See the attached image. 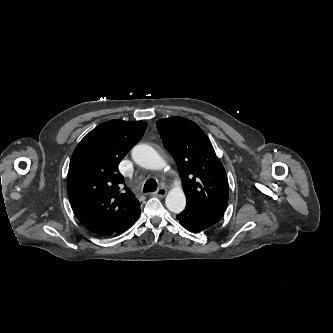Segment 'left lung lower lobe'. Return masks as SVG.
Returning a JSON list of instances; mask_svg holds the SVG:
<instances>
[{
	"label": "left lung lower lobe",
	"mask_w": 333,
	"mask_h": 333,
	"mask_svg": "<svg viewBox=\"0 0 333 333\" xmlns=\"http://www.w3.org/2000/svg\"><path fill=\"white\" fill-rule=\"evenodd\" d=\"M222 216L223 214L203 211L187 204L184 211L176 218L185 229L197 233L216 224Z\"/></svg>",
	"instance_id": "1"
}]
</instances>
